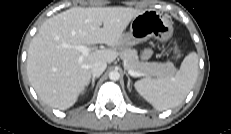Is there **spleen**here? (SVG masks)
<instances>
[{
  "instance_id": "spleen-1",
  "label": "spleen",
  "mask_w": 231,
  "mask_h": 134,
  "mask_svg": "<svg viewBox=\"0 0 231 134\" xmlns=\"http://www.w3.org/2000/svg\"><path fill=\"white\" fill-rule=\"evenodd\" d=\"M198 55L189 53L175 76L144 78L135 82L138 93L159 111L180 105L193 88L198 77Z\"/></svg>"
}]
</instances>
